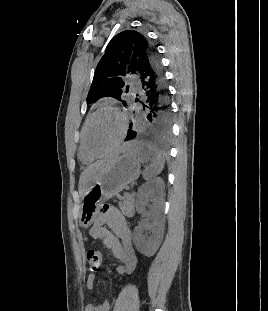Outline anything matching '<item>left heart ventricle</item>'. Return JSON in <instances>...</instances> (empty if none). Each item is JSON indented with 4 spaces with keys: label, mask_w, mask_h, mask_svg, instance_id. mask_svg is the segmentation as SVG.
Returning <instances> with one entry per match:
<instances>
[{
    "label": "left heart ventricle",
    "mask_w": 268,
    "mask_h": 311,
    "mask_svg": "<svg viewBox=\"0 0 268 311\" xmlns=\"http://www.w3.org/2000/svg\"><path fill=\"white\" fill-rule=\"evenodd\" d=\"M120 131L121 122L114 112H100L90 121L87 128V146L93 153H103L114 144Z\"/></svg>",
    "instance_id": "b2bd125f"
}]
</instances>
